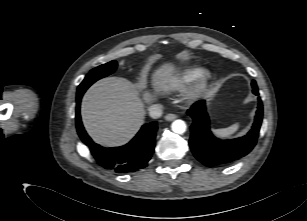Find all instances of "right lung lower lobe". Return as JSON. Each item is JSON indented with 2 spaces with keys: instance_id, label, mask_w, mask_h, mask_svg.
I'll return each instance as SVG.
<instances>
[{
  "instance_id": "98d812e1",
  "label": "right lung lower lobe",
  "mask_w": 307,
  "mask_h": 221,
  "mask_svg": "<svg viewBox=\"0 0 307 221\" xmlns=\"http://www.w3.org/2000/svg\"><path fill=\"white\" fill-rule=\"evenodd\" d=\"M83 94H77L76 127L79 137L89 147L96 162L105 169L120 174L135 172L146 167L154 152L157 123L143 125L138 134L124 146L102 147L93 142L82 125L80 102Z\"/></svg>"
}]
</instances>
